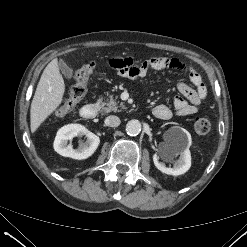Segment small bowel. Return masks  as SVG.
Masks as SVG:
<instances>
[{"label":"small bowel","mask_w":247,"mask_h":247,"mask_svg":"<svg viewBox=\"0 0 247 247\" xmlns=\"http://www.w3.org/2000/svg\"><path fill=\"white\" fill-rule=\"evenodd\" d=\"M109 65L115 69L122 77L135 79L144 78L150 70L175 69L188 71L189 80L194 87L185 82H180L177 86L180 95L173 99L174 110L166 105H157L153 109V115L162 120H168L173 115L188 116L198 111V106L207 95V88L201 75L192 67H187L179 59L174 57H152L137 63L131 57L114 58L109 61Z\"/></svg>","instance_id":"small-bowel-1"}]
</instances>
